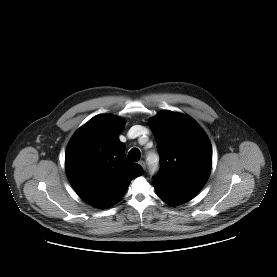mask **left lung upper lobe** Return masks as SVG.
Here are the masks:
<instances>
[{
  "instance_id": "obj_1",
  "label": "left lung upper lobe",
  "mask_w": 277,
  "mask_h": 277,
  "mask_svg": "<svg viewBox=\"0 0 277 277\" xmlns=\"http://www.w3.org/2000/svg\"><path fill=\"white\" fill-rule=\"evenodd\" d=\"M161 169L153 185L168 192L194 197L206 183L212 148L202 128L190 117L163 111L151 121Z\"/></svg>"
}]
</instances>
